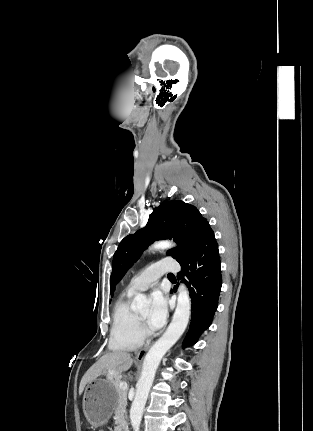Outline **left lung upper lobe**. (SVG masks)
<instances>
[{
	"label": "left lung upper lobe",
	"mask_w": 313,
	"mask_h": 431,
	"mask_svg": "<svg viewBox=\"0 0 313 431\" xmlns=\"http://www.w3.org/2000/svg\"><path fill=\"white\" fill-rule=\"evenodd\" d=\"M208 226L209 223L195 206L180 200L164 202L153 209L147 225L126 236L114 254L112 291L149 244L155 240L173 239L178 247L169 250L167 254L180 263L193 252Z\"/></svg>",
	"instance_id": "obj_1"
}]
</instances>
